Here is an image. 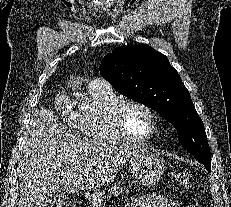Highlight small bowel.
<instances>
[{
  "instance_id": "c3829d8e",
  "label": "small bowel",
  "mask_w": 231,
  "mask_h": 207,
  "mask_svg": "<svg viewBox=\"0 0 231 207\" xmlns=\"http://www.w3.org/2000/svg\"><path fill=\"white\" fill-rule=\"evenodd\" d=\"M126 207H180V205L179 202L174 199L150 194L133 199Z\"/></svg>"
}]
</instances>
